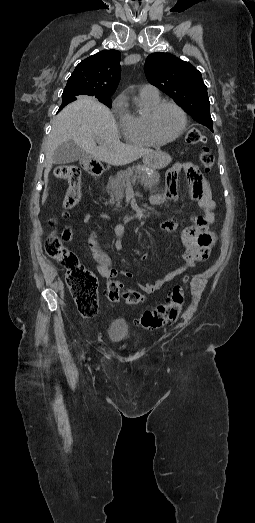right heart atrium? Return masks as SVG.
<instances>
[{"label":"right heart atrium","mask_w":255,"mask_h":523,"mask_svg":"<svg viewBox=\"0 0 255 523\" xmlns=\"http://www.w3.org/2000/svg\"><path fill=\"white\" fill-rule=\"evenodd\" d=\"M124 94H120L113 102L112 109L115 113L119 114L122 110V105L124 102Z\"/></svg>","instance_id":"d8ad5b80"}]
</instances>
